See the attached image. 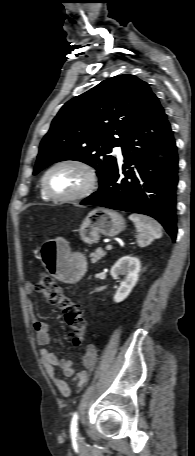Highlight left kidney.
I'll return each instance as SVG.
<instances>
[{
    "mask_svg": "<svg viewBox=\"0 0 195 456\" xmlns=\"http://www.w3.org/2000/svg\"><path fill=\"white\" fill-rule=\"evenodd\" d=\"M141 264L137 257L130 255L120 258L111 268V276L117 280L123 276L120 286L113 297L114 302L119 303L125 300L135 287L140 272Z\"/></svg>",
    "mask_w": 195,
    "mask_h": 456,
    "instance_id": "5707ae66",
    "label": "left kidney"
}]
</instances>
